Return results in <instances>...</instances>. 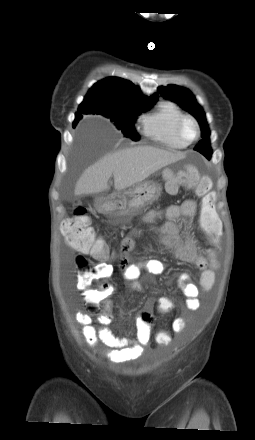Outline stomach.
I'll list each match as a JSON object with an SVG mask.
<instances>
[{"mask_svg": "<svg viewBox=\"0 0 255 440\" xmlns=\"http://www.w3.org/2000/svg\"><path fill=\"white\" fill-rule=\"evenodd\" d=\"M161 193L159 184L146 181L132 188L118 191L108 198L96 200L99 212L111 215L116 222L127 223L142 209L151 205Z\"/></svg>", "mask_w": 255, "mask_h": 440, "instance_id": "stomach-1", "label": "stomach"}]
</instances>
